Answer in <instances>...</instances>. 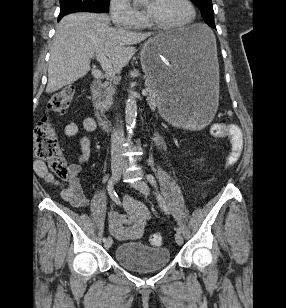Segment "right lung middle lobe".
<instances>
[{
    "mask_svg": "<svg viewBox=\"0 0 286 308\" xmlns=\"http://www.w3.org/2000/svg\"><path fill=\"white\" fill-rule=\"evenodd\" d=\"M60 14L76 11L108 12L110 0H59Z\"/></svg>",
    "mask_w": 286,
    "mask_h": 308,
    "instance_id": "dd1d6c3e",
    "label": "right lung middle lobe"
}]
</instances>
